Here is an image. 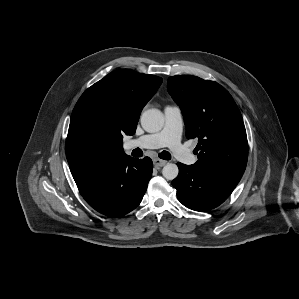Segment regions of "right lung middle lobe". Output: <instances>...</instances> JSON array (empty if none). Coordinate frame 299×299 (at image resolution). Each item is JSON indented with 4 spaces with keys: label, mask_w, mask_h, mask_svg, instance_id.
Masks as SVG:
<instances>
[{
    "label": "right lung middle lobe",
    "mask_w": 299,
    "mask_h": 299,
    "mask_svg": "<svg viewBox=\"0 0 299 299\" xmlns=\"http://www.w3.org/2000/svg\"><path fill=\"white\" fill-rule=\"evenodd\" d=\"M113 118L103 107L88 104L74 109L66 139L69 165H89L102 160L117 140Z\"/></svg>",
    "instance_id": "dd1d6c3e"
}]
</instances>
